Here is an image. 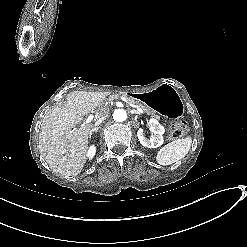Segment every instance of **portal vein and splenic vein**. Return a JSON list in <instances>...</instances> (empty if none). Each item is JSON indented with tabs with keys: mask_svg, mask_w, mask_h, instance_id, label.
I'll list each match as a JSON object with an SVG mask.
<instances>
[{
	"mask_svg": "<svg viewBox=\"0 0 247 247\" xmlns=\"http://www.w3.org/2000/svg\"><path fill=\"white\" fill-rule=\"evenodd\" d=\"M137 113L145 114V110L137 109ZM92 118H94V113H89V117L85 120V124H89L91 122Z\"/></svg>",
	"mask_w": 247,
	"mask_h": 247,
	"instance_id": "obj_1",
	"label": "portal vein and splenic vein"
}]
</instances>
